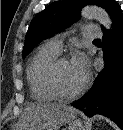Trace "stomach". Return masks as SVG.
Returning a JSON list of instances; mask_svg holds the SVG:
<instances>
[{"mask_svg":"<svg viewBox=\"0 0 123 130\" xmlns=\"http://www.w3.org/2000/svg\"><path fill=\"white\" fill-rule=\"evenodd\" d=\"M67 130H85V126L80 120H71L69 122Z\"/></svg>","mask_w":123,"mask_h":130,"instance_id":"1","label":"stomach"}]
</instances>
